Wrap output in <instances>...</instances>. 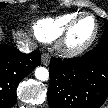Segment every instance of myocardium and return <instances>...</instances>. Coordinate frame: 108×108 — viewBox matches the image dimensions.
I'll return each instance as SVG.
<instances>
[{
	"label": "myocardium",
	"instance_id": "myocardium-1",
	"mask_svg": "<svg viewBox=\"0 0 108 108\" xmlns=\"http://www.w3.org/2000/svg\"><path fill=\"white\" fill-rule=\"evenodd\" d=\"M91 19L93 22V30L91 35L81 43H73L72 36L74 30L84 19ZM98 34V23L94 16L90 14H81L77 16L63 31L60 36L58 47L60 51L67 56H76L86 51L95 41Z\"/></svg>",
	"mask_w": 108,
	"mask_h": 108
}]
</instances>
